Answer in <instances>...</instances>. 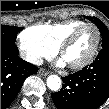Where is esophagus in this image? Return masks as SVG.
<instances>
[{
    "label": "esophagus",
    "mask_w": 109,
    "mask_h": 109,
    "mask_svg": "<svg viewBox=\"0 0 109 109\" xmlns=\"http://www.w3.org/2000/svg\"><path fill=\"white\" fill-rule=\"evenodd\" d=\"M38 73H39L40 75H42V76H47V75L49 74V72H48V71H45L44 69H39V70H38Z\"/></svg>",
    "instance_id": "34e87169"
}]
</instances>
